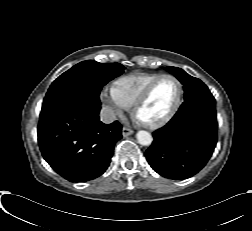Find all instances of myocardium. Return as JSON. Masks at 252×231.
Listing matches in <instances>:
<instances>
[{"mask_svg":"<svg viewBox=\"0 0 252 231\" xmlns=\"http://www.w3.org/2000/svg\"><path fill=\"white\" fill-rule=\"evenodd\" d=\"M165 78H170L172 80L175 81V83L177 84V88H178V92H177V97L176 100L173 104V106L171 107V109L169 110V112L163 116L162 118H160L159 120L153 121V122H144L142 120H140L138 118V111L139 109L142 107V105L148 100V98L150 97L153 89L155 88V86L162 80ZM182 98H183V85L180 82V80L175 77L174 75L171 74H162L159 77H157L155 80H153L146 88L145 90L142 92V94L138 97V99L135 101V103L133 104V115L139 120V122L148 129H157L160 128L164 125H166L177 113V111L179 110L181 103H182Z\"/></svg>","mask_w":252,"mask_h":231,"instance_id":"f54148a6","label":"myocardium"}]
</instances>
